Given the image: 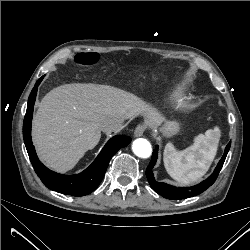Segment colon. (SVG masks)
Here are the masks:
<instances>
[{
  "label": "colon",
  "mask_w": 250,
  "mask_h": 250,
  "mask_svg": "<svg viewBox=\"0 0 250 250\" xmlns=\"http://www.w3.org/2000/svg\"><path fill=\"white\" fill-rule=\"evenodd\" d=\"M75 62L82 67H91L98 62V55L95 53H79L75 56Z\"/></svg>",
  "instance_id": "1"
}]
</instances>
